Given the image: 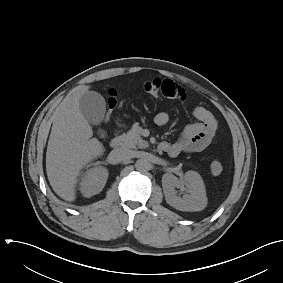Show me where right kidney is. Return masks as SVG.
I'll list each match as a JSON object with an SVG mask.
<instances>
[{"instance_id":"ca27d5eb","label":"right kidney","mask_w":283,"mask_h":283,"mask_svg":"<svg viewBox=\"0 0 283 283\" xmlns=\"http://www.w3.org/2000/svg\"><path fill=\"white\" fill-rule=\"evenodd\" d=\"M108 179V170L97 166L87 170L80 182V191L84 197H91L101 192Z\"/></svg>"}]
</instances>
